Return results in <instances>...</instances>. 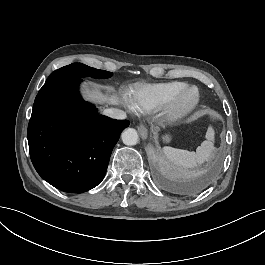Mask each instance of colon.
<instances>
[{"label":"colon","instance_id":"5ec220e1","mask_svg":"<svg viewBox=\"0 0 265 265\" xmlns=\"http://www.w3.org/2000/svg\"><path fill=\"white\" fill-rule=\"evenodd\" d=\"M197 110V107H194L193 109H192V112H195ZM187 115H191V112H187Z\"/></svg>","mask_w":265,"mask_h":265}]
</instances>
